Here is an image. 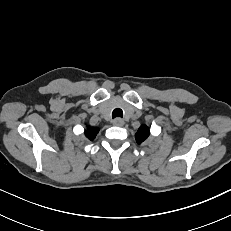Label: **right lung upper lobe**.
Segmentation results:
<instances>
[{
	"label": "right lung upper lobe",
	"mask_w": 231,
	"mask_h": 231,
	"mask_svg": "<svg viewBox=\"0 0 231 231\" xmlns=\"http://www.w3.org/2000/svg\"><path fill=\"white\" fill-rule=\"evenodd\" d=\"M99 129L98 128H88L87 131H85V135L89 140H93L95 136L97 135Z\"/></svg>",
	"instance_id": "cb5924a9"
}]
</instances>
